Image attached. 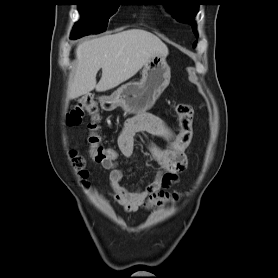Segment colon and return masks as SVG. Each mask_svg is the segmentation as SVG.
<instances>
[{
  "instance_id": "5ec220e1",
  "label": "colon",
  "mask_w": 278,
  "mask_h": 278,
  "mask_svg": "<svg viewBox=\"0 0 278 278\" xmlns=\"http://www.w3.org/2000/svg\"><path fill=\"white\" fill-rule=\"evenodd\" d=\"M176 113L179 119V131L170 141L169 147L177 153H185L193 138L192 120L194 110L191 105L180 103L176 106ZM86 116H91L94 119H97L98 116V105L95 98L91 95L83 96L76 101L67 114V123L69 125H79ZM88 127L92 131L89 137L92 159L96 162H102L104 160L118 158L119 153L116 148L104 147L100 144V137L95 133L97 129L96 123L92 122ZM72 163L81 178L86 179L89 176L86 161L82 156L72 153ZM174 199H176L175 194L158 191L149 196L147 206L154 207L162 205Z\"/></svg>"
}]
</instances>
